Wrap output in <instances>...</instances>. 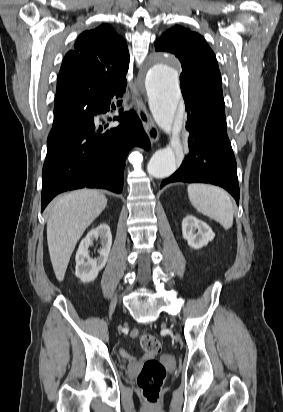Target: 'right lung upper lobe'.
I'll use <instances>...</instances> for the list:
<instances>
[{"label":"right lung upper lobe","mask_w":283,"mask_h":412,"mask_svg":"<svg viewBox=\"0 0 283 412\" xmlns=\"http://www.w3.org/2000/svg\"><path fill=\"white\" fill-rule=\"evenodd\" d=\"M74 47L59 72L54 115L87 103L102 91L122 92L127 85L128 47L111 26L83 32Z\"/></svg>","instance_id":"right-lung-upper-lobe-1"}]
</instances>
